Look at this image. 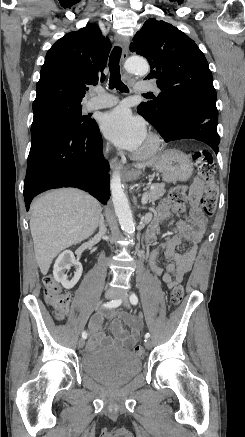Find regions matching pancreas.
I'll use <instances>...</instances> for the list:
<instances>
[{
  "label": "pancreas",
  "mask_w": 245,
  "mask_h": 437,
  "mask_svg": "<svg viewBox=\"0 0 245 437\" xmlns=\"http://www.w3.org/2000/svg\"><path fill=\"white\" fill-rule=\"evenodd\" d=\"M165 184L164 183H156L152 184L150 189L146 192L147 199L150 203H154V201L160 199L165 194Z\"/></svg>",
  "instance_id": "obj_1"
}]
</instances>
